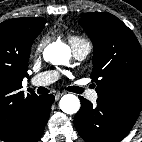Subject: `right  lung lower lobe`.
I'll use <instances>...</instances> for the list:
<instances>
[{"label": "right lung lower lobe", "instance_id": "98d812e1", "mask_svg": "<svg viewBox=\"0 0 142 142\" xmlns=\"http://www.w3.org/2000/svg\"><path fill=\"white\" fill-rule=\"evenodd\" d=\"M53 102L54 96L51 94L40 96L21 131L6 142H37L42 136Z\"/></svg>", "mask_w": 142, "mask_h": 142}]
</instances>
